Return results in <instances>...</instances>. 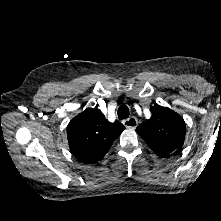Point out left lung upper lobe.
Wrapping results in <instances>:
<instances>
[{"label": "left lung upper lobe", "instance_id": "obj_1", "mask_svg": "<svg viewBox=\"0 0 221 221\" xmlns=\"http://www.w3.org/2000/svg\"><path fill=\"white\" fill-rule=\"evenodd\" d=\"M150 111L151 118L142 122L136 128V132L155 153L166 157L183 146L185 122L181 116L167 107L155 105Z\"/></svg>", "mask_w": 221, "mask_h": 221}]
</instances>
